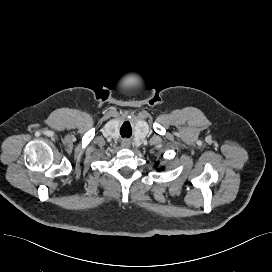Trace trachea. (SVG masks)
Segmentation results:
<instances>
[{
	"label": "trachea",
	"instance_id": "3493384b",
	"mask_svg": "<svg viewBox=\"0 0 272 272\" xmlns=\"http://www.w3.org/2000/svg\"><path fill=\"white\" fill-rule=\"evenodd\" d=\"M120 134L122 137H127L129 138L132 135V130L131 129H125V128H121L120 130Z\"/></svg>",
	"mask_w": 272,
	"mask_h": 272
}]
</instances>
